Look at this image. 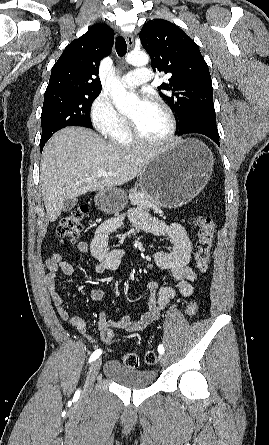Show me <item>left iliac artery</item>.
I'll return each mask as SVG.
<instances>
[{"label": "left iliac artery", "instance_id": "1", "mask_svg": "<svg viewBox=\"0 0 269 445\" xmlns=\"http://www.w3.org/2000/svg\"><path fill=\"white\" fill-rule=\"evenodd\" d=\"M164 346L162 345V344H160L159 346H158V352L160 353V354H163L164 353Z\"/></svg>", "mask_w": 269, "mask_h": 445}]
</instances>
